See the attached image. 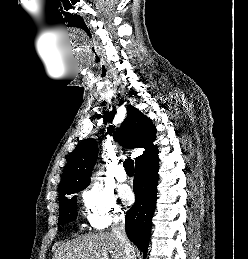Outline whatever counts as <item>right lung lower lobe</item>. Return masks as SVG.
<instances>
[{"label": "right lung lower lobe", "instance_id": "right-lung-lower-lobe-1", "mask_svg": "<svg viewBox=\"0 0 248 259\" xmlns=\"http://www.w3.org/2000/svg\"><path fill=\"white\" fill-rule=\"evenodd\" d=\"M158 155L140 158L135 165L134 205L126 212L125 226L128 238L146 257L151 220L156 206L158 183Z\"/></svg>", "mask_w": 248, "mask_h": 259}]
</instances>
